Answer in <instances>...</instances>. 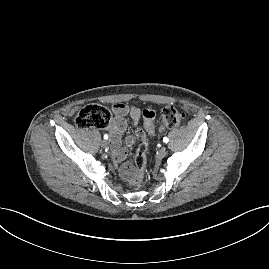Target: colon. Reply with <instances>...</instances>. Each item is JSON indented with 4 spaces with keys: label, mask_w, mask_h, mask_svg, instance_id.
<instances>
[{
    "label": "colon",
    "mask_w": 269,
    "mask_h": 269,
    "mask_svg": "<svg viewBox=\"0 0 269 269\" xmlns=\"http://www.w3.org/2000/svg\"><path fill=\"white\" fill-rule=\"evenodd\" d=\"M154 117L155 113L151 109L143 111V128L137 130L139 137V145L135 156L136 169L131 176L130 182L133 185H138L143 178V170L146 164L145 153L147 143L145 134L152 135L154 133ZM161 126L160 129H170L178 126L185 119V113L175 107L167 106L161 111ZM76 125L79 128H105L111 123V113L109 109L100 104H88L84 106L76 116Z\"/></svg>",
    "instance_id": "colon-1"
}]
</instances>
